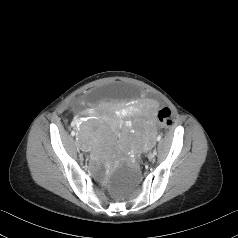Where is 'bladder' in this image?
<instances>
[{"label":"bladder","instance_id":"obj_1","mask_svg":"<svg viewBox=\"0 0 238 238\" xmlns=\"http://www.w3.org/2000/svg\"><path fill=\"white\" fill-rule=\"evenodd\" d=\"M141 95V89L135 85L117 84L96 87L87 94L90 102L106 97L107 99H132Z\"/></svg>","mask_w":238,"mask_h":238}]
</instances>
